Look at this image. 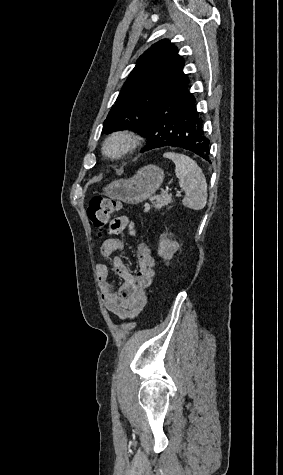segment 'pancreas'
<instances>
[{"mask_svg": "<svg viewBox=\"0 0 283 475\" xmlns=\"http://www.w3.org/2000/svg\"><path fill=\"white\" fill-rule=\"evenodd\" d=\"M173 200H172V196L171 194H162V196H158V198H156L155 202H152L153 204V208H155V210H160V208H162V206H168V204H172ZM150 210V206H145V212H149Z\"/></svg>", "mask_w": 283, "mask_h": 475, "instance_id": "obj_1", "label": "pancreas"}]
</instances>
